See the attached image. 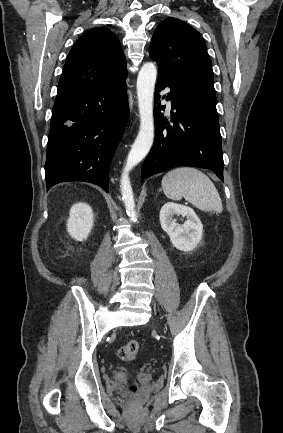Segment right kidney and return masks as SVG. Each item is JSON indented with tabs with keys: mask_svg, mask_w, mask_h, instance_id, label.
I'll use <instances>...</instances> for the list:
<instances>
[{
	"mask_svg": "<svg viewBox=\"0 0 283 433\" xmlns=\"http://www.w3.org/2000/svg\"><path fill=\"white\" fill-rule=\"evenodd\" d=\"M93 226V210L87 203H76L70 209L67 231L77 241H83Z\"/></svg>",
	"mask_w": 283,
	"mask_h": 433,
	"instance_id": "1",
	"label": "right kidney"
}]
</instances>
